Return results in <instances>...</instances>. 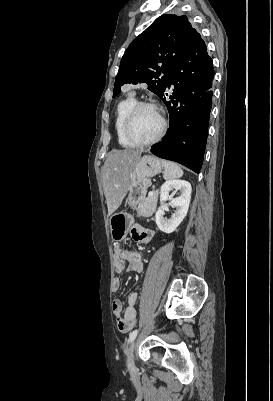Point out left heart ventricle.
Returning a JSON list of instances; mask_svg holds the SVG:
<instances>
[{"label": "left heart ventricle", "instance_id": "obj_1", "mask_svg": "<svg viewBox=\"0 0 273 401\" xmlns=\"http://www.w3.org/2000/svg\"><path fill=\"white\" fill-rule=\"evenodd\" d=\"M161 126V117L157 111L149 108H142L135 115L130 131L135 138L148 140L159 133Z\"/></svg>", "mask_w": 273, "mask_h": 401}]
</instances>
